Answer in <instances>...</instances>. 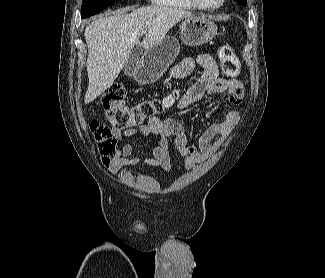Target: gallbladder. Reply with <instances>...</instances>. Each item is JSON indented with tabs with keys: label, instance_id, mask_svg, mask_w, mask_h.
Instances as JSON below:
<instances>
[{
	"label": "gallbladder",
	"instance_id": "bac80fb5",
	"mask_svg": "<svg viewBox=\"0 0 325 278\" xmlns=\"http://www.w3.org/2000/svg\"><path fill=\"white\" fill-rule=\"evenodd\" d=\"M141 55H142V48L140 46L133 47L125 63V67H124L125 75L127 76L135 75Z\"/></svg>",
	"mask_w": 325,
	"mask_h": 278
}]
</instances>
